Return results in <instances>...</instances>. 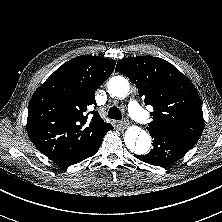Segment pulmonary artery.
<instances>
[{
    "label": "pulmonary artery",
    "instance_id": "pulmonary-artery-1",
    "mask_svg": "<svg viewBox=\"0 0 222 222\" xmlns=\"http://www.w3.org/2000/svg\"><path fill=\"white\" fill-rule=\"evenodd\" d=\"M128 111L130 116L139 123H144L146 121V113L139 106V104L134 100L128 101Z\"/></svg>",
    "mask_w": 222,
    "mask_h": 222
}]
</instances>
